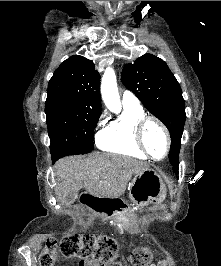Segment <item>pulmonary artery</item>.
Listing matches in <instances>:
<instances>
[{"mask_svg":"<svg viewBox=\"0 0 221 266\" xmlns=\"http://www.w3.org/2000/svg\"><path fill=\"white\" fill-rule=\"evenodd\" d=\"M122 104L124 106L139 107L138 98L130 91L125 90L122 95Z\"/></svg>","mask_w":221,"mask_h":266,"instance_id":"obj_1","label":"pulmonary artery"}]
</instances>
